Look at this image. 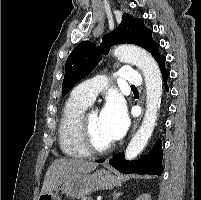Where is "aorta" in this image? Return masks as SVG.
I'll return each mask as SVG.
<instances>
[{"mask_svg": "<svg viewBox=\"0 0 201 200\" xmlns=\"http://www.w3.org/2000/svg\"><path fill=\"white\" fill-rule=\"evenodd\" d=\"M113 53L120 61L138 67L143 73L146 84L145 115L125 151V158L131 160L141 153L153 133L161 103L162 76L156 61L144 49L121 45L116 47Z\"/></svg>", "mask_w": 201, "mask_h": 200, "instance_id": "aorta-1", "label": "aorta"}]
</instances>
